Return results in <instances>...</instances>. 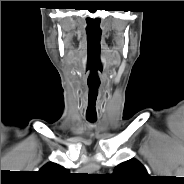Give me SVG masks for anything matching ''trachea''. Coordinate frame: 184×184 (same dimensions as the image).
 <instances>
[{"instance_id": "1", "label": "trachea", "mask_w": 184, "mask_h": 184, "mask_svg": "<svg viewBox=\"0 0 184 184\" xmlns=\"http://www.w3.org/2000/svg\"><path fill=\"white\" fill-rule=\"evenodd\" d=\"M87 120H88L89 122H95V121H96L95 118H87Z\"/></svg>"}]
</instances>
